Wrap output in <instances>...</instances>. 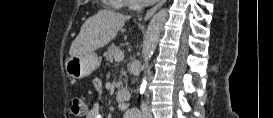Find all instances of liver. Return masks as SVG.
<instances>
[{
  "label": "liver",
  "mask_w": 273,
  "mask_h": 118,
  "mask_svg": "<svg viewBox=\"0 0 273 118\" xmlns=\"http://www.w3.org/2000/svg\"><path fill=\"white\" fill-rule=\"evenodd\" d=\"M128 16L111 10H100L82 25L70 46V56L91 53L113 40L124 26Z\"/></svg>",
  "instance_id": "6515ba94"
}]
</instances>
